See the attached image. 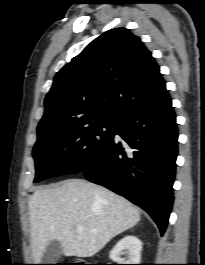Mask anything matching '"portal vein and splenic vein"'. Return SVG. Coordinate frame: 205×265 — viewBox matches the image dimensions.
I'll use <instances>...</instances> for the list:
<instances>
[{
	"label": "portal vein and splenic vein",
	"instance_id": "1",
	"mask_svg": "<svg viewBox=\"0 0 205 265\" xmlns=\"http://www.w3.org/2000/svg\"><path fill=\"white\" fill-rule=\"evenodd\" d=\"M83 230H84V229H83L82 226H78V227H77V231H78V232H82Z\"/></svg>",
	"mask_w": 205,
	"mask_h": 265
}]
</instances>
